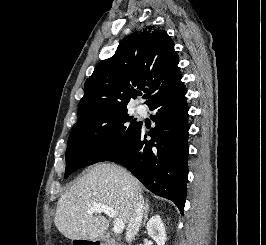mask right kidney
Listing matches in <instances>:
<instances>
[{
	"mask_svg": "<svg viewBox=\"0 0 266 245\" xmlns=\"http://www.w3.org/2000/svg\"><path fill=\"white\" fill-rule=\"evenodd\" d=\"M146 229L149 237H151L153 241H156L157 245H165L166 231L164 223H162V219L159 215L151 217L150 221H148L146 225Z\"/></svg>",
	"mask_w": 266,
	"mask_h": 245,
	"instance_id": "ca27d5eb",
	"label": "right kidney"
}]
</instances>
